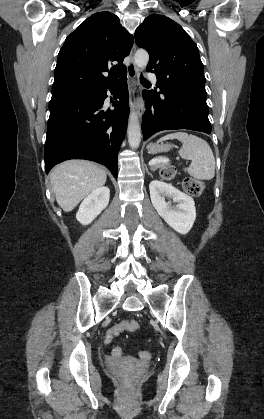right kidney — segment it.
<instances>
[{
  "instance_id": "obj_1",
  "label": "right kidney",
  "mask_w": 264,
  "mask_h": 419,
  "mask_svg": "<svg viewBox=\"0 0 264 419\" xmlns=\"http://www.w3.org/2000/svg\"><path fill=\"white\" fill-rule=\"evenodd\" d=\"M110 198L108 187L93 190L81 203L76 219L83 225L90 224L104 210Z\"/></svg>"
}]
</instances>
